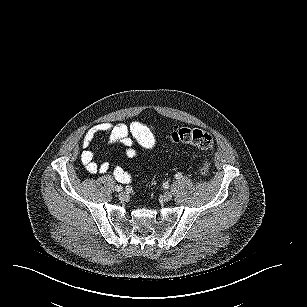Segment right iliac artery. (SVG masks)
I'll list each match as a JSON object with an SVG mask.
<instances>
[{
	"label": "right iliac artery",
	"mask_w": 307,
	"mask_h": 307,
	"mask_svg": "<svg viewBox=\"0 0 307 307\" xmlns=\"http://www.w3.org/2000/svg\"><path fill=\"white\" fill-rule=\"evenodd\" d=\"M115 190H116L117 192H120V191H122V187L119 186V185H117V186H115Z\"/></svg>",
	"instance_id": "right-iliac-artery-1"
}]
</instances>
